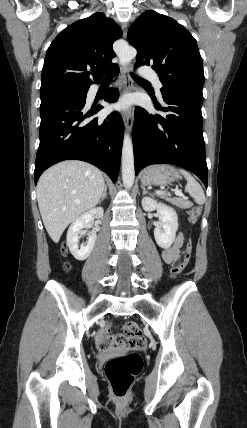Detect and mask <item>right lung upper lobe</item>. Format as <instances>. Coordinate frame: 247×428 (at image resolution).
I'll use <instances>...</instances> for the list:
<instances>
[{
    "label": "right lung upper lobe",
    "instance_id": "cb5924a9",
    "mask_svg": "<svg viewBox=\"0 0 247 428\" xmlns=\"http://www.w3.org/2000/svg\"><path fill=\"white\" fill-rule=\"evenodd\" d=\"M121 36V28L102 13L79 20L61 31L46 53L41 93L89 88L100 82L105 70L118 67L111 62L116 56L112 45Z\"/></svg>",
    "mask_w": 247,
    "mask_h": 428
}]
</instances>
